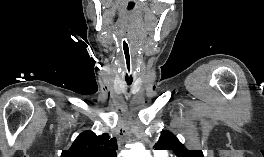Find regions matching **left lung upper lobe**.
Returning <instances> with one entry per match:
<instances>
[{
	"instance_id": "5c2ea615",
	"label": "left lung upper lobe",
	"mask_w": 264,
	"mask_h": 157,
	"mask_svg": "<svg viewBox=\"0 0 264 157\" xmlns=\"http://www.w3.org/2000/svg\"><path fill=\"white\" fill-rule=\"evenodd\" d=\"M154 148L158 150H172L177 157H204L201 150L186 149V147L167 130L161 132V136Z\"/></svg>"
}]
</instances>
